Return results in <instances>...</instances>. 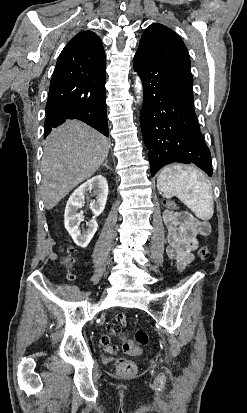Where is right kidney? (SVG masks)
I'll use <instances>...</instances> for the list:
<instances>
[{"mask_svg": "<svg viewBox=\"0 0 247 413\" xmlns=\"http://www.w3.org/2000/svg\"><path fill=\"white\" fill-rule=\"evenodd\" d=\"M92 188H94V192L96 194V198L90 202V209L94 217L91 221H89V223H87L88 229L81 233L79 229L81 215L80 213H77V211L83 207L85 194H87L88 190H92ZM107 196L108 182L105 176H102V174H96V176H92V178H89V180H86V182L80 184V186L72 192L69 200H67L64 213V225L66 231H68L69 235H71L74 243H76L78 247L86 249L92 237H94L98 229L95 219L101 215L102 211H104Z\"/></svg>", "mask_w": 247, "mask_h": 413, "instance_id": "obj_1", "label": "right kidney"}]
</instances>
